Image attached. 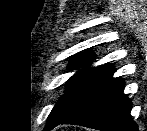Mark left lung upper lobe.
Instances as JSON below:
<instances>
[{
	"label": "left lung upper lobe",
	"instance_id": "left-lung-upper-lobe-1",
	"mask_svg": "<svg viewBox=\"0 0 147 131\" xmlns=\"http://www.w3.org/2000/svg\"><path fill=\"white\" fill-rule=\"evenodd\" d=\"M95 58L91 51L80 54L71 61L72 69L89 65ZM114 72L113 66L101 65L90 70H80L68 81L64 95L51 111L44 131H49L74 114L100 88Z\"/></svg>",
	"mask_w": 147,
	"mask_h": 131
}]
</instances>
